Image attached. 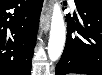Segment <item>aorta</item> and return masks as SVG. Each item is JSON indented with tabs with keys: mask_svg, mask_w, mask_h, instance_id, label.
Masks as SVG:
<instances>
[{
	"mask_svg": "<svg viewBox=\"0 0 102 75\" xmlns=\"http://www.w3.org/2000/svg\"><path fill=\"white\" fill-rule=\"evenodd\" d=\"M65 23L59 3H55L51 19L50 37L48 43V56L51 61L60 58L65 44Z\"/></svg>",
	"mask_w": 102,
	"mask_h": 75,
	"instance_id": "obj_1",
	"label": "aorta"
}]
</instances>
